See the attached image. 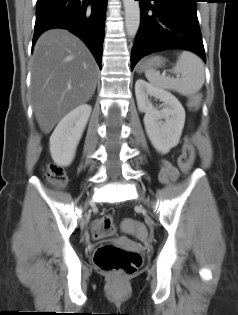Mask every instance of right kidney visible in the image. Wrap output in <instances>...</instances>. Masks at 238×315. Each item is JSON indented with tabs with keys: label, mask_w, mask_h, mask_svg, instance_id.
Listing matches in <instances>:
<instances>
[{
	"label": "right kidney",
	"mask_w": 238,
	"mask_h": 315,
	"mask_svg": "<svg viewBox=\"0 0 238 315\" xmlns=\"http://www.w3.org/2000/svg\"><path fill=\"white\" fill-rule=\"evenodd\" d=\"M92 107L82 104L65 115L50 137V153L59 166H69L76 153Z\"/></svg>",
	"instance_id": "right-kidney-1"
}]
</instances>
